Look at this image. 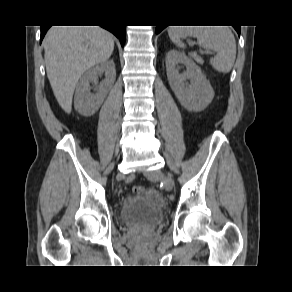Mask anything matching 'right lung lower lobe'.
I'll list each match as a JSON object with an SVG mask.
<instances>
[{"label": "right lung lower lobe", "instance_id": "98d812e1", "mask_svg": "<svg viewBox=\"0 0 292 292\" xmlns=\"http://www.w3.org/2000/svg\"><path fill=\"white\" fill-rule=\"evenodd\" d=\"M105 29L112 32L114 35H116L120 39V43L123 46L125 43V26L124 25H102ZM49 27L41 26V37L40 42L44 38V35L46 34Z\"/></svg>", "mask_w": 292, "mask_h": 292}]
</instances>
